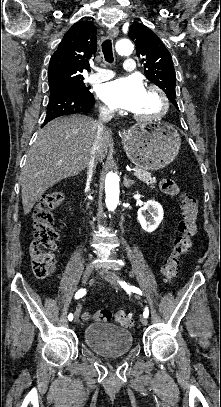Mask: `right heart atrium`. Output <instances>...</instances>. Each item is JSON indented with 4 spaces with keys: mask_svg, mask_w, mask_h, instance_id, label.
Listing matches in <instances>:
<instances>
[{
    "mask_svg": "<svg viewBox=\"0 0 221 407\" xmlns=\"http://www.w3.org/2000/svg\"><path fill=\"white\" fill-rule=\"evenodd\" d=\"M100 110H101L103 113H109V112L112 111L111 108L108 107L107 105H101V106H100Z\"/></svg>",
    "mask_w": 221,
    "mask_h": 407,
    "instance_id": "obj_1",
    "label": "right heart atrium"
}]
</instances>
